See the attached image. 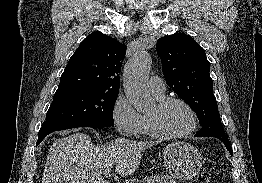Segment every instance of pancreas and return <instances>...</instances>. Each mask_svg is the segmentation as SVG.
Returning <instances> with one entry per match:
<instances>
[{"mask_svg": "<svg viewBox=\"0 0 262 183\" xmlns=\"http://www.w3.org/2000/svg\"><path fill=\"white\" fill-rule=\"evenodd\" d=\"M140 183H176V181L173 177L167 175H149Z\"/></svg>", "mask_w": 262, "mask_h": 183, "instance_id": "pancreas-1", "label": "pancreas"}]
</instances>
